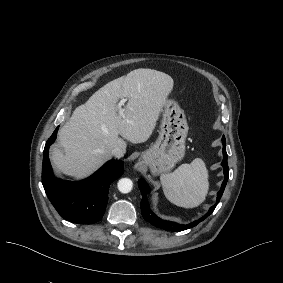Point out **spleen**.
<instances>
[{
  "instance_id": "3e777b00",
  "label": "spleen",
  "mask_w": 283,
  "mask_h": 283,
  "mask_svg": "<svg viewBox=\"0 0 283 283\" xmlns=\"http://www.w3.org/2000/svg\"><path fill=\"white\" fill-rule=\"evenodd\" d=\"M209 178L206 161L197 157L190 164H183L174 174L161 176L160 183L169 202L193 209L206 201L210 188Z\"/></svg>"
}]
</instances>
